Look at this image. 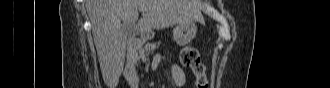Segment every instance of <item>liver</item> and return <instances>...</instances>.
I'll list each match as a JSON object with an SVG mask.
<instances>
[{
    "label": "liver",
    "mask_w": 330,
    "mask_h": 88,
    "mask_svg": "<svg viewBox=\"0 0 330 88\" xmlns=\"http://www.w3.org/2000/svg\"><path fill=\"white\" fill-rule=\"evenodd\" d=\"M141 8L146 11L138 20ZM86 9L103 79L109 88H116L124 68L127 34L121 21L135 27L138 21L137 27L144 33L203 20L191 0H88Z\"/></svg>",
    "instance_id": "1"
}]
</instances>
